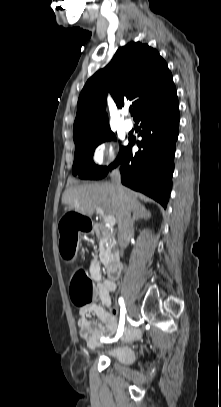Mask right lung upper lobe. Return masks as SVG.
Instances as JSON below:
<instances>
[{"mask_svg": "<svg viewBox=\"0 0 221 407\" xmlns=\"http://www.w3.org/2000/svg\"><path fill=\"white\" fill-rule=\"evenodd\" d=\"M173 86L172 74L157 50L140 42L119 48L111 62L96 72L80 93L73 126L75 144L110 130L105 111L108 92L118 108L131 102L136 119Z\"/></svg>", "mask_w": 221, "mask_h": 407, "instance_id": "obj_1", "label": "right lung upper lobe"}]
</instances>
